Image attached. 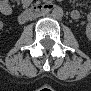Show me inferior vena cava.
Segmentation results:
<instances>
[{
    "label": "inferior vena cava",
    "mask_w": 91,
    "mask_h": 91,
    "mask_svg": "<svg viewBox=\"0 0 91 91\" xmlns=\"http://www.w3.org/2000/svg\"><path fill=\"white\" fill-rule=\"evenodd\" d=\"M46 14V12H42V11H36L34 13H32V18H42L44 17V15Z\"/></svg>",
    "instance_id": "1"
}]
</instances>
